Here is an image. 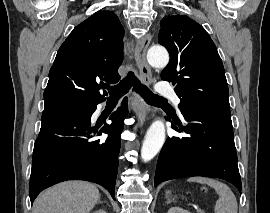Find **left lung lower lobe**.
Wrapping results in <instances>:
<instances>
[{"instance_id": "0a47b994", "label": "left lung lower lobe", "mask_w": 270, "mask_h": 213, "mask_svg": "<svg viewBox=\"0 0 270 213\" xmlns=\"http://www.w3.org/2000/svg\"><path fill=\"white\" fill-rule=\"evenodd\" d=\"M186 126L172 128L187 137H168L160 152L155 186L171 179L204 176L221 178L241 191L230 113L191 110L183 114Z\"/></svg>"}]
</instances>
